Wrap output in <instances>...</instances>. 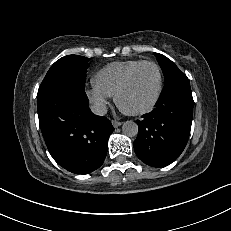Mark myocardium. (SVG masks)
Wrapping results in <instances>:
<instances>
[{
    "label": "myocardium",
    "mask_w": 231,
    "mask_h": 231,
    "mask_svg": "<svg viewBox=\"0 0 231 231\" xmlns=\"http://www.w3.org/2000/svg\"><path fill=\"white\" fill-rule=\"evenodd\" d=\"M145 65H151L156 69L157 72V76H158V84H157V90L156 93L153 97V99L151 100V102L146 105L145 107L138 109V110H128L126 108H124L121 104V96L123 94V92L127 89V87L129 86V84L131 83V80L134 76V74L142 67ZM162 90H163V73L162 70L160 68V66L154 62V61H150V60H143L142 62L138 63L136 66H134L125 76V78L123 79V81L121 82V84L119 85L116 93H115V102L116 105L118 106V108L120 110H122L124 113L130 114V115H143L145 113H148L149 111H151L156 104L158 103L161 94H162Z\"/></svg>",
    "instance_id": "f54148a6"
}]
</instances>
